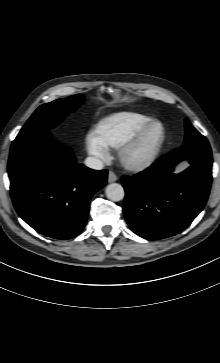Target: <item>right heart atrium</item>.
Masks as SVG:
<instances>
[{
	"label": "right heart atrium",
	"mask_w": 220,
	"mask_h": 363,
	"mask_svg": "<svg viewBox=\"0 0 220 363\" xmlns=\"http://www.w3.org/2000/svg\"><path fill=\"white\" fill-rule=\"evenodd\" d=\"M85 145L89 155L97 162L105 163L110 159V150L96 131H91L86 135Z\"/></svg>",
	"instance_id": "right-heart-atrium-1"
}]
</instances>
